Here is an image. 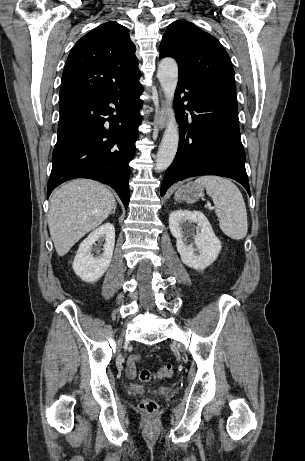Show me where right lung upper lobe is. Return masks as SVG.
Here are the masks:
<instances>
[{
	"mask_svg": "<svg viewBox=\"0 0 305 461\" xmlns=\"http://www.w3.org/2000/svg\"><path fill=\"white\" fill-rule=\"evenodd\" d=\"M136 47L126 28L104 23L72 48L62 75L60 104L126 89L138 82Z\"/></svg>",
	"mask_w": 305,
	"mask_h": 461,
	"instance_id": "right-lung-upper-lobe-1",
	"label": "right lung upper lobe"
}]
</instances>
